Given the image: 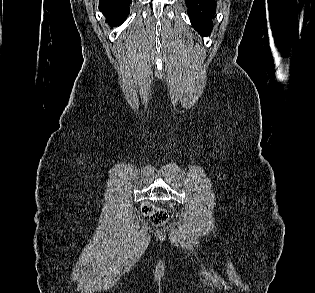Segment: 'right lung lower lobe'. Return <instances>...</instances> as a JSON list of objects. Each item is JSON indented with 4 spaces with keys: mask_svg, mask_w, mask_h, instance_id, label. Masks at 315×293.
<instances>
[{
    "mask_svg": "<svg viewBox=\"0 0 315 293\" xmlns=\"http://www.w3.org/2000/svg\"><path fill=\"white\" fill-rule=\"evenodd\" d=\"M132 0H100L99 9L106 17V21L111 25H119L129 14V4Z\"/></svg>",
    "mask_w": 315,
    "mask_h": 293,
    "instance_id": "obj_1",
    "label": "right lung lower lobe"
}]
</instances>
